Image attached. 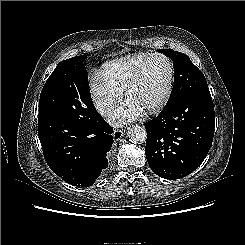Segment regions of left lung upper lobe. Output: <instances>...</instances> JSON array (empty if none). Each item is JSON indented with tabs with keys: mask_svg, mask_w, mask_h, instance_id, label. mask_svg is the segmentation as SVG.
I'll return each instance as SVG.
<instances>
[{
	"mask_svg": "<svg viewBox=\"0 0 245 245\" xmlns=\"http://www.w3.org/2000/svg\"><path fill=\"white\" fill-rule=\"evenodd\" d=\"M158 51L173 60L175 73L173 89L164 108L172 106L194 90L208 88L205 76L187 55L172 49H159Z\"/></svg>",
	"mask_w": 245,
	"mask_h": 245,
	"instance_id": "1",
	"label": "left lung upper lobe"
}]
</instances>
